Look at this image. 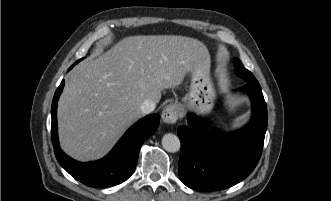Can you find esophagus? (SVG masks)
I'll list each match as a JSON object with an SVG mask.
<instances>
[{"mask_svg": "<svg viewBox=\"0 0 331 201\" xmlns=\"http://www.w3.org/2000/svg\"><path fill=\"white\" fill-rule=\"evenodd\" d=\"M180 115V108L176 104L167 105L161 114L164 123L173 124L175 123Z\"/></svg>", "mask_w": 331, "mask_h": 201, "instance_id": "esophagus-1", "label": "esophagus"}]
</instances>
